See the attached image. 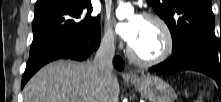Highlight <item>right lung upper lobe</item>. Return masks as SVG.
<instances>
[{"label":"right lung upper lobe","mask_w":221,"mask_h":102,"mask_svg":"<svg viewBox=\"0 0 221 102\" xmlns=\"http://www.w3.org/2000/svg\"><path fill=\"white\" fill-rule=\"evenodd\" d=\"M44 1H46V0H37L36 4L42 3Z\"/></svg>","instance_id":"cb5924a9"}]
</instances>
